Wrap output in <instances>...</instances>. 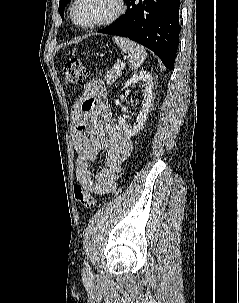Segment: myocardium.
<instances>
[{"mask_svg": "<svg viewBox=\"0 0 239 303\" xmlns=\"http://www.w3.org/2000/svg\"><path fill=\"white\" fill-rule=\"evenodd\" d=\"M79 0H74L71 4V8H70V17L72 22L82 28V29H94V28H99V27H103V26H107L110 25L114 22H116L118 19H120L126 12L127 10V5H126V1L125 0H116V4H117V9L116 11L108 16L105 19L90 23V24H80L77 20H76V15H75V10H76V6L78 4Z\"/></svg>", "mask_w": 239, "mask_h": 303, "instance_id": "myocardium-1", "label": "myocardium"}]
</instances>
